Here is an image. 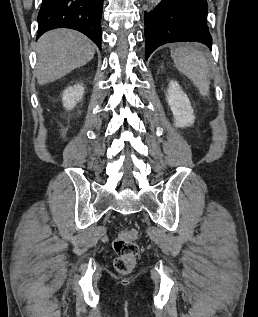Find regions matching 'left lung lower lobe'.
Here are the masks:
<instances>
[{
	"label": "left lung lower lobe",
	"mask_w": 258,
	"mask_h": 317,
	"mask_svg": "<svg viewBox=\"0 0 258 317\" xmlns=\"http://www.w3.org/2000/svg\"><path fill=\"white\" fill-rule=\"evenodd\" d=\"M206 0H162L145 13L146 59L159 46L181 41H196L212 47L206 24Z\"/></svg>",
	"instance_id": "0a47b994"
}]
</instances>
